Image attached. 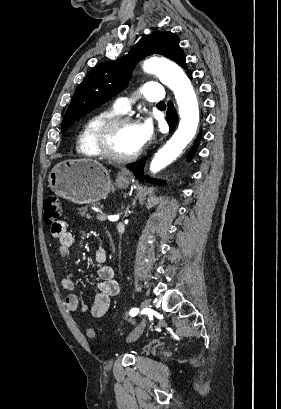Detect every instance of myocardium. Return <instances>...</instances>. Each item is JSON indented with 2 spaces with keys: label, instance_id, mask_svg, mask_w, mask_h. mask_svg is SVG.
I'll use <instances>...</instances> for the list:
<instances>
[{
  "label": "myocardium",
  "instance_id": "obj_1",
  "mask_svg": "<svg viewBox=\"0 0 281 409\" xmlns=\"http://www.w3.org/2000/svg\"><path fill=\"white\" fill-rule=\"evenodd\" d=\"M120 126H137V122L126 116H115L107 120L98 130L97 146L100 153L112 161L119 163L130 162L137 159L142 154L143 148L141 147L136 152L127 155H119L114 153L110 148L109 139L113 131Z\"/></svg>",
  "mask_w": 281,
  "mask_h": 409
}]
</instances>
